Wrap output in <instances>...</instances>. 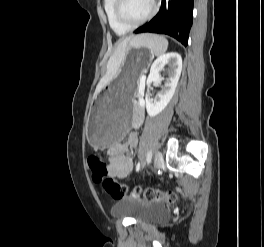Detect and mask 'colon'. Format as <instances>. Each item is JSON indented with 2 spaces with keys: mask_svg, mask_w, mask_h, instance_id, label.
Here are the masks:
<instances>
[{
  "mask_svg": "<svg viewBox=\"0 0 264 247\" xmlns=\"http://www.w3.org/2000/svg\"><path fill=\"white\" fill-rule=\"evenodd\" d=\"M88 165L91 169L93 181L102 184L104 191L115 199L133 196L150 201H163L168 204L176 202L177 196L174 192L155 188L128 187L108 178V165L99 154H91L88 157Z\"/></svg>",
  "mask_w": 264,
  "mask_h": 247,
  "instance_id": "obj_1",
  "label": "colon"
}]
</instances>
